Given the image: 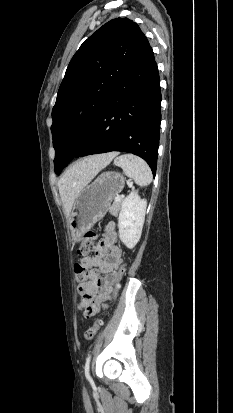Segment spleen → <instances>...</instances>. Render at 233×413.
Here are the masks:
<instances>
[{
	"label": "spleen",
	"mask_w": 233,
	"mask_h": 413,
	"mask_svg": "<svg viewBox=\"0 0 233 413\" xmlns=\"http://www.w3.org/2000/svg\"><path fill=\"white\" fill-rule=\"evenodd\" d=\"M114 164L122 168L124 174L132 178L139 186H147L152 182V172L148 164L132 154H124L114 160Z\"/></svg>",
	"instance_id": "obj_1"
}]
</instances>
